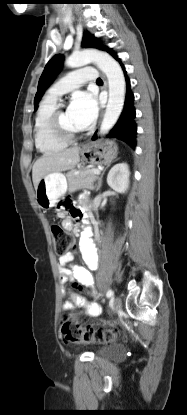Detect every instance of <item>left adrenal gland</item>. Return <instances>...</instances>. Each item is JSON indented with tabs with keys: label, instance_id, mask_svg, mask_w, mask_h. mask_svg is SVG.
Wrapping results in <instances>:
<instances>
[{
	"label": "left adrenal gland",
	"instance_id": "obj_1",
	"mask_svg": "<svg viewBox=\"0 0 187 415\" xmlns=\"http://www.w3.org/2000/svg\"><path fill=\"white\" fill-rule=\"evenodd\" d=\"M107 168L108 166L102 171L100 177H98V185H97L96 191H98L102 186V178Z\"/></svg>",
	"mask_w": 187,
	"mask_h": 415
}]
</instances>
